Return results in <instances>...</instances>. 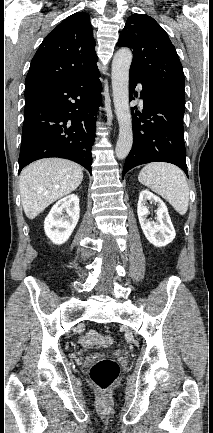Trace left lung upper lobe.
Masks as SVG:
<instances>
[{
  "label": "left lung upper lobe",
  "mask_w": 213,
  "mask_h": 433,
  "mask_svg": "<svg viewBox=\"0 0 213 433\" xmlns=\"http://www.w3.org/2000/svg\"><path fill=\"white\" fill-rule=\"evenodd\" d=\"M118 47L133 50L130 72L151 89L184 103V73L176 49L165 30L150 16L131 15Z\"/></svg>",
  "instance_id": "obj_1"
}]
</instances>
